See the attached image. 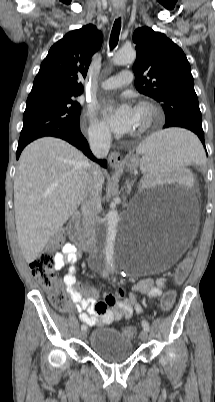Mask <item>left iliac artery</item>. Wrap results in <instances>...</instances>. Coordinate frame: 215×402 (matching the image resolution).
Instances as JSON below:
<instances>
[{"instance_id": "obj_1", "label": "left iliac artery", "mask_w": 215, "mask_h": 402, "mask_svg": "<svg viewBox=\"0 0 215 402\" xmlns=\"http://www.w3.org/2000/svg\"><path fill=\"white\" fill-rule=\"evenodd\" d=\"M142 327L147 331L150 329L149 323L146 320H142Z\"/></svg>"}]
</instances>
